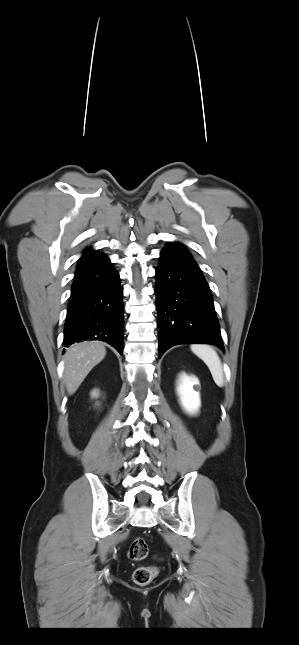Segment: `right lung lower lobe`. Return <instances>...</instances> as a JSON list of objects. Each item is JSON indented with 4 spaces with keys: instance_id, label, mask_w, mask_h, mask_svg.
I'll return each mask as SVG.
<instances>
[{
    "instance_id": "obj_1",
    "label": "right lung lower lobe",
    "mask_w": 299,
    "mask_h": 645,
    "mask_svg": "<svg viewBox=\"0 0 299 645\" xmlns=\"http://www.w3.org/2000/svg\"><path fill=\"white\" fill-rule=\"evenodd\" d=\"M123 290L118 272L104 256L78 267L73 278L63 346L86 340L123 350Z\"/></svg>"
}]
</instances>
